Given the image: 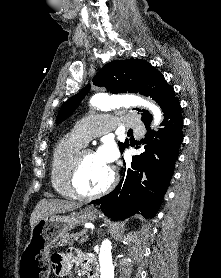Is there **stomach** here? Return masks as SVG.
I'll return each mask as SVG.
<instances>
[{
    "label": "stomach",
    "instance_id": "obj_1",
    "mask_svg": "<svg viewBox=\"0 0 221 278\" xmlns=\"http://www.w3.org/2000/svg\"><path fill=\"white\" fill-rule=\"evenodd\" d=\"M98 212L90 207L67 216L49 215L31 229L30 239L21 254L20 278H51L48 250L68 231L97 219Z\"/></svg>",
    "mask_w": 221,
    "mask_h": 278
}]
</instances>
